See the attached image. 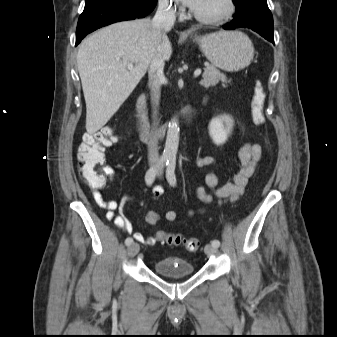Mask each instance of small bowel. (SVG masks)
Here are the masks:
<instances>
[{"mask_svg": "<svg viewBox=\"0 0 337 337\" xmlns=\"http://www.w3.org/2000/svg\"><path fill=\"white\" fill-rule=\"evenodd\" d=\"M262 158V148L259 144L244 143L239 150L240 169L223 185H219V177L216 172V160L211 156H199L194 159V166L197 168L208 167L210 171L206 175V187L210 193L203 186L196 187V195L199 200L209 204L214 201V197L219 199V202L236 201L245 191L247 183L252 175L257 170ZM105 175L113 180L115 177V170L111 166L104 167ZM164 195V189L156 186L153 189V198L160 199ZM93 198L97 205L107 210L106 218L113 221L117 228L125 231L128 234H133L135 240L148 246H153L158 239L155 236L145 237L143 234L133 233V226L124 214V207L128 201L133 200L131 196H125L120 202L116 200H105L98 189L93 191ZM206 209H189L186 211V216H193L197 213H205ZM165 218L169 222L177 220V213L169 210L165 214ZM145 219L150 225H157L161 219L160 214L154 210L146 213Z\"/></svg>", "mask_w": 337, "mask_h": 337, "instance_id": "small-bowel-1", "label": "small bowel"}]
</instances>
